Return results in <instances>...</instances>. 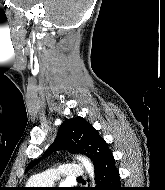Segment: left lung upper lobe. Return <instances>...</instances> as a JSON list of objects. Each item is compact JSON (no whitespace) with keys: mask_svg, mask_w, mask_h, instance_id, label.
Segmentation results:
<instances>
[{"mask_svg":"<svg viewBox=\"0 0 165 190\" xmlns=\"http://www.w3.org/2000/svg\"><path fill=\"white\" fill-rule=\"evenodd\" d=\"M68 150L72 153H82L88 156L96 165L111 154L107 143L97 130L82 117L64 121L59 127L55 141L44 152L42 158L32 161L25 172L34 167L41 159L53 151Z\"/></svg>","mask_w":165,"mask_h":190,"instance_id":"obj_1","label":"left lung upper lobe"}]
</instances>
